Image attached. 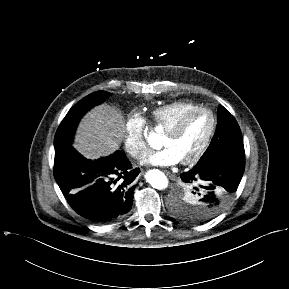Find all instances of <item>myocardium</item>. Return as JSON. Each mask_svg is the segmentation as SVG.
<instances>
[{
	"label": "myocardium",
	"instance_id": "obj_1",
	"mask_svg": "<svg viewBox=\"0 0 289 289\" xmlns=\"http://www.w3.org/2000/svg\"><path fill=\"white\" fill-rule=\"evenodd\" d=\"M198 113H207L208 115H210L211 120H212V125H211L210 131H209L207 137L205 138V140L201 144V146L190 157L181 160V163L184 165L196 163L204 155V153L206 152V150L210 146V144L213 140V137L216 133V129H217V123L218 122H217L216 115L213 113L212 110H210L208 108L198 107L196 109L190 110V111L186 112L185 114H183L177 120V122L165 132V134L168 136H177L184 129L187 121L192 116H194Z\"/></svg>",
	"mask_w": 289,
	"mask_h": 289
}]
</instances>
